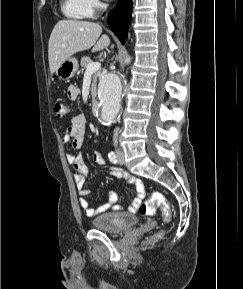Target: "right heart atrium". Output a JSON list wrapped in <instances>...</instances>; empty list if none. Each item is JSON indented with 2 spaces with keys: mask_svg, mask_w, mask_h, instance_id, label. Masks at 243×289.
<instances>
[{
  "mask_svg": "<svg viewBox=\"0 0 243 289\" xmlns=\"http://www.w3.org/2000/svg\"><path fill=\"white\" fill-rule=\"evenodd\" d=\"M83 2L91 15L95 14L102 7L100 0H83Z\"/></svg>",
  "mask_w": 243,
  "mask_h": 289,
  "instance_id": "obj_1",
  "label": "right heart atrium"
}]
</instances>
